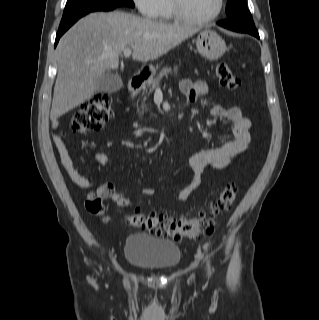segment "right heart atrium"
I'll list each match as a JSON object with an SVG mask.
<instances>
[{"label":"right heart atrium","mask_w":319,"mask_h":320,"mask_svg":"<svg viewBox=\"0 0 319 320\" xmlns=\"http://www.w3.org/2000/svg\"><path fill=\"white\" fill-rule=\"evenodd\" d=\"M139 12L149 18H158L162 14L165 0H133Z\"/></svg>","instance_id":"1"}]
</instances>
